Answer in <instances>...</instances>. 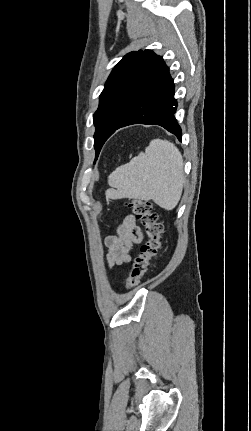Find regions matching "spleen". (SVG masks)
<instances>
[{"instance_id":"1","label":"spleen","mask_w":251,"mask_h":431,"mask_svg":"<svg viewBox=\"0 0 251 431\" xmlns=\"http://www.w3.org/2000/svg\"><path fill=\"white\" fill-rule=\"evenodd\" d=\"M183 158L178 148L167 140L154 139L129 163L117 167L109 176L111 199L153 200L166 210L174 209L184 184Z\"/></svg>"}]
</instances>
